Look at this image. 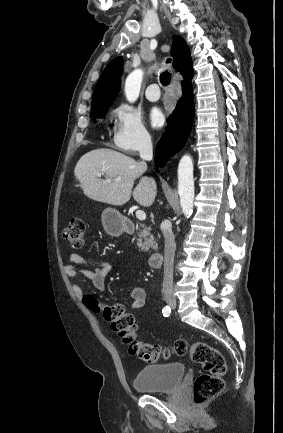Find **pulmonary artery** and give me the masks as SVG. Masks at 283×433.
Masks as SVG:
<instances>
[{
    "label": "pulmonary artery",
    "instance_id": "pulmonary-artery-1",
    "mask_svg": "<svg viewBox=\"0 0 283 433\" xmlns=\"http://www.w3.org/2000/svg\"><path fill=\"white\" fill-rule=\"evenodd\" d=\"M147 90L145 96L149 101H157L160 98L157 83H148Z\"/></svg>",
    "mask_w": 283,
    "mask_h": 433
}]
</instances>
